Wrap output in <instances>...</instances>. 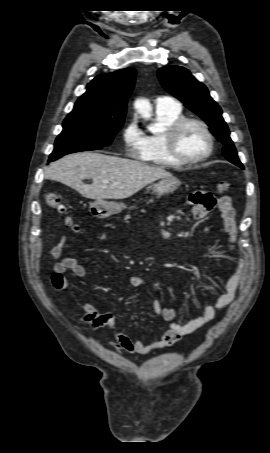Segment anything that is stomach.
Returning a JSON list of instances; mask_svg holds the SVG:
<instances>
[{"label": "stomach", "instance_id": "obj_1", "mask_svg": "<svg viewBox=\"0 0 270 453\" xmlns=\"http://www.w3.org/2000/svg\"><path fill=\"white\" fill-rule=\"evenodd\" d=\"M180 184L181 182L173 176L164 177L153 186V189L156 194L163 195L173 192ZM125 208L126 205L123 203L95 200L90 204L89 212L96 218L105 219L111 215L120 213Z\"/></svg>", "mask_w": 270, "mask_h": 453}]
</instances>
